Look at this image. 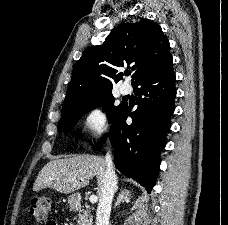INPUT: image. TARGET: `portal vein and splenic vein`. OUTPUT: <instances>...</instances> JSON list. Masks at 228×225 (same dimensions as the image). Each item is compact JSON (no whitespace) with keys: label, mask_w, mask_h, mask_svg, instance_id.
<instances>
[{"label":"portal vein and splenic vein","mask_w":228,"mask_h":225,"mask_svg":"<svg viewBox=\"0 0 228 225\" xmlns=\"http://www.w3.org/2000/svg\"><path fill=\"white\" fill-rule=\"evenodd\" d=\"M84 179H86V177H83V179H80V181H84ZM96 201H98V197H94V195H91L90 203H96Z\"/></svg>","instance_id":"obj_1"}]
</instances>
